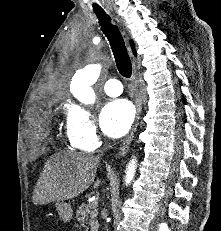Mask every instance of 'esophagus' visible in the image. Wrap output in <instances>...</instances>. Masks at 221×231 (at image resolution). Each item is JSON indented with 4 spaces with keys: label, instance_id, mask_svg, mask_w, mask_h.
Here are the masks:
<instances>
[{
    "label": "esophagus",
    "instance_id": "34e87169",
    "mask_svg": "<svg viewBox=\"0 0 221 231\" xmlns=\"http://www.w3.org/2000/svg\"><path fill=\"white\" fill-rule=\"evenodd\" d=\"M133 69H134L133 85H134V89H135L136 117H135V121H134V124L132 126V129H131L129 135L124 139V141H123V143L119 149V152L116 155V158H119V157L124 156L126 154L128 148L131 144V141L134 137V134L137 130L140 116H141V112H142V97H141V94H140L139 89H138L137 70H136L135 60H133Z\"/></svg>",
    "mask_w": 221,
    "mask_h": 231
}]
</instances>
